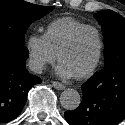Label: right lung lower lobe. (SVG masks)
<instances>
[{
  "mask_svg": "<svg viewBox=\"0 0 125 125\" xmlns=\"http://www.w3.org/2000/svg\"><path fill=\"white\" fill-rule=\"evenodd\" d=\"M28 57L25 45L0 38V123L9 122L21 114L28 91L41 83L39 77L26 70Z\"/></svg>",
  "mask_w": 125,
  "mask_h": 125,
  "instance_id": "98d812e1",
  "label": "right lung lower lobe"
}]
</instances>
